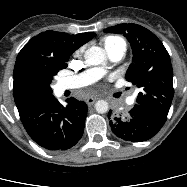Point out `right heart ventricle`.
<instances>
[{"mask_svg": "<svg viewBox=\"0 0 187 187\" xmlns=\"http://www.w3.org/2000/svg\"><path fill=\"white\" fill-rule=\"evenodd\" d=\"M102 44L106 51L115 47H126L125 41L118 36H107L102 40Z\"/></svg>", "mask_w": 187, "mask_h": 187, "instance_id": "1", "label": "right heart ventricle"}]
</instances>
